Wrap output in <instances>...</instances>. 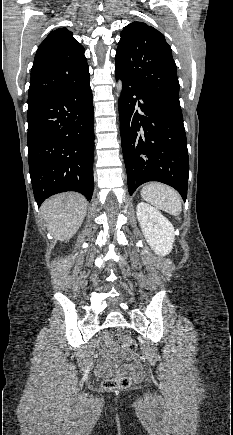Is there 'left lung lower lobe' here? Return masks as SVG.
Returning <instances> with one entry per match:
<instances>
[{
  "label": "left lung lower lobe",
  "instance_id": "1",
  "mask_svg": "<svg viewBox=\"0 0 233 435\" xmlns=\"http://www.w3.org/2000/svg\"><path fill=\"white\" fill-rule=\"evenodd\" d=\"M115 74L123 82L120 133L129 194L145 182L159 181L185 201L189 158L179 100L147 92L116 67Z\"/></svg>",
  "mask_w": 233,
  "mask_h": 435
}]
</instances>
